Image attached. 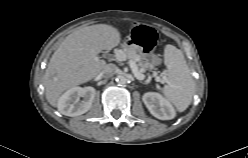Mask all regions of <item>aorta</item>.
<instances>
[{"label": "aorta", "instance_id": "762f6f07", "mask_svg": "<svg viewBox=\"0 0 248 158\" xmlns=\"http://www.w3.org/2000/svg\"><path fill=\"white\" fill-rule=\"evenodd\" d=\"M116 81L118 82V84L123 85L127 82V79L124 76H119Z\"/></svg>", "mask_w": 248, "mask_h": 158}]
</instances>
